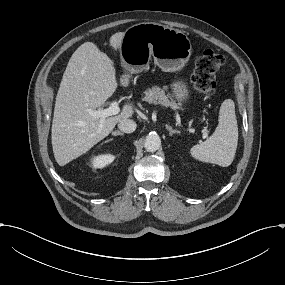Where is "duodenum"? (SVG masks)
Masks as SVG:
<instances>
[{"label":"duodenum","mask_w":285,"mask_h":285,"mask_svg":"<svg viewBox=\"0 0 285 285\" xmlns=\"http://www.w3.org/2000/svg\"><path fill=\"white\" fill-rule=\"evenodd\" d=\"M119 86H120V88H122V89H127V88H129V86H130V81H129V79H127V78H122V79H120V81H119Z\"/></svg>","instance_id":"duodenum-1"}]
</instances>
